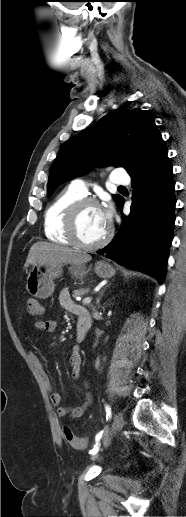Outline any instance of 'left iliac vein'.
Listing matches in <instances>:
<instances>
[{
    "label": "left iliac vein",
    "instance_id": "left-iliac-vein-1",
    "mask_svg": "<svg viewBox=\"0 0 186 517\" xmlns=\"http://www.w3.org/2000/svg\"><path fill=\"white\" fill-rule=\"evenodd\" d=\"M123 425H124L123 416L120 413H117L114 416L113 425H112V428H111L110 432L107 433L103 437V447H106V446L109 445L112 436L115 433H117L118 431H120L122 429ZM96 457H97V454H94L93 458H96Z\"/></svg>",
    "mask_w": 186,
    "mask_h": 517
}]
</instances>
